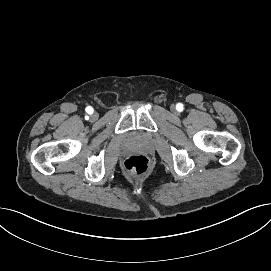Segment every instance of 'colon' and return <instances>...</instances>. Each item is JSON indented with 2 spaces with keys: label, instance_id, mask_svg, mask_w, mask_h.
Masks as SVG:
<instances>
[{
  "label": "colon",
  "instance_id": "colon-1",
  "mask_svg": "<svg viewBox=\"0 0 271 271\" xmlns=\"http://www.w3.org/2000/svg\"><path fill=\"white\" fill-rule=\"evenodd\" d=\"M124 169L132 176H143L150 169V160L144 155H133L124 162Z\"/></svg>",
  "mask_w": 271,
  "mask_h": 271
}]
</instances>
